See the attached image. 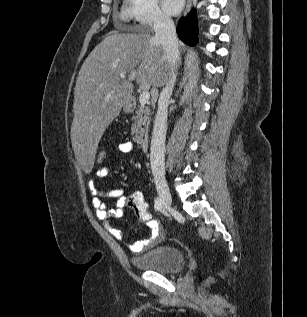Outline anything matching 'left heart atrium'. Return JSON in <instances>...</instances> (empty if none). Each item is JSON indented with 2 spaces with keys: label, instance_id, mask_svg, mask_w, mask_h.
Segmentation results:
<instances>
[{
  "label": "left heart atrium",
  "instance_id": "39dd6f15",
  "mask_svg": "<svg viewBox=\"0 0 307 317\" xmlns=\"http://www.w3.org/2000/svg\"><path fill=\"white\" fill-rule=\"evenodd\" d=\"M184 0H162V6L166 13L175 15L181 11Z\"/></svg>",
  "mask_w": 307,
  "mask_h": 317
}]
</instances>
